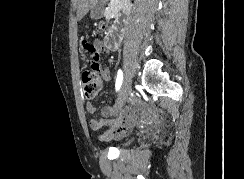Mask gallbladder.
<instances>
[{
    "label": "gallbladder",
    "mask_w": 244,
    "mask_h": 179,
    "mask_svg": "<svg viewBox=\"0 0 244 179\" xmlns=\"http://www.w3.org/2000/svg\"><path fill=\"white\" fill-rule=\"evenodd\" d=\"M106 4H108V0H97V4L90 14L91 18H95V20L102 18Z\"/></svg>",
    "instance_id": "1"
}]
</instances>
